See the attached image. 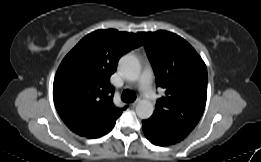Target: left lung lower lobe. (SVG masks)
Wrapping results in <instances>:
<instances>
[{"instance_id": "1", "label": "left lung lower lobe", "mask_w": 261, "mask_h": 162, "mask_svg": "<svg viewBox=\"0 0 261 162\" xmlns=\"http://www.w3.org/2000/svg\"><path fill=\"white\" fill-rule=\"evenodd\" d=\"M142 129L146 138L157 146L173 145L182 141L189 134L161 123L152 117L142 121Z\"/></svg>"}]
</instances>
